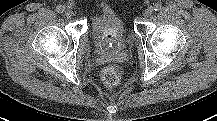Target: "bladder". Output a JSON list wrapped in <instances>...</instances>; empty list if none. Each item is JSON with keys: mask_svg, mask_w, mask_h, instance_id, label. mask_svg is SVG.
Returning a JSON list of instances; mask_svg holds the SVG:
<instances>
[{"mask_svg": "<svg viewBox=\"0 0 217 121\" xmlns=\"http://www.w3.org/2000/svg\"><path fill=\"white\" fill-rule=\"evenodd\" d=\"M91 29L100 50L104 53L116 54L125 49V26L112 9L97 14L93 18Z\"/></svg>", "mask_w": 217, "mask_h": 121, "instance_id": "31cf9c89", "label": "bladder"}]
</instances>
